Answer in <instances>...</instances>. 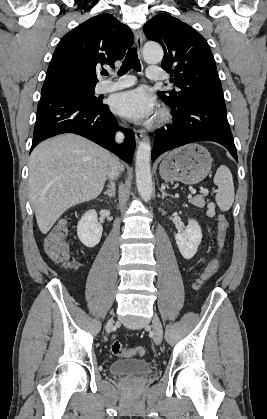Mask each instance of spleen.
Masks as SVG:
<instances>
[{
    "label": "spleen",
    "instance_id": "3e777b00",
    "mask_svg": "<svg viewBox=\"0 0 267 419\" xmlns=\"http://www.w3.org/2000/svg\"><path fill=\"white\" fill-rule=\"evenodd\" d=\"M214 184L218 186L215 196L216 203L221 211H228L234 202V183L231 171L221 165L215 174Z\"/></svg>",
    "mask_w": 267,
    "mask_h": 419
}]
</instances>
